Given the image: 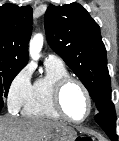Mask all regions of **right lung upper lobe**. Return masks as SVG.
Instances as JSON below:
<instances>
[{
  "mask_svg": "<svg viewBox=\"0 0 119 141\" xmlns=\"http://www.w3.org/2000/svg\"><path fill=\"white\" fill-rule=\"evenodd\" d=\"M32 22L31 6L0 7V70L21 71L26 66Z\"/></svg>",
  "mask_w": 119,
  "mask_h": 141,
  "instance_id": "obj_1",
  "label": "right lung upper lobe"
}]
</instances>
